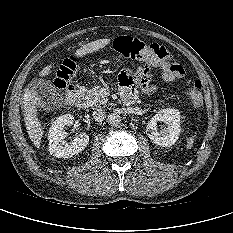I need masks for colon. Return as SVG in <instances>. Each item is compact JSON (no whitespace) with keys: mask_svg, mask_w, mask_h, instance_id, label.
Returning <instances> with one entry per match:
<instances>
[{"mask_svg":"<svg viewBox=\"0 0 233 233\" xmlns=\"http://www.w3.org/2000/svg\"><path fill=\"white\" fill-rule=\"evenodd\" d=\"M113 46L125 58L158 64L162 77L167 81L179 79L186 74L185 67L177 62L164 46L146 43L128 36L117 38ZM76 64L77 59L75 57H69L63 61L55 79V85L57 87H66L74 74ZM188 98L194 107L198 108L202 105L203 86L199 80L193 82L188 93Z\"/></svg>","mask_w":233,"mask_h":233,"instance_id":"obj_1","label":"colon"}]
</instances>
